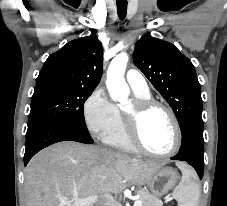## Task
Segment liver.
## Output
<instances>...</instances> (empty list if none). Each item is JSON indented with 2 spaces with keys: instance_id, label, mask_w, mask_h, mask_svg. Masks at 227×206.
I'll use <instances>...</instances> for the list:
<instances>
[{
  "instance_id": "6515ba94",
  "label": "liver",
  "mask_w": 227,
  "mask_h": 206,
  "mask_svg": "<svg viewBox=\"0 0 227 206\" xmlns=\"http://www.w3.org/2000/svg\"><path fill=\"white\" fill-rule=\"evenodd\" d=\"M93 145L63 141L37 153L25 170L26 206H67L97 195L95 206H107L106 195L129 184L144 185L164 166ZM179 167L184 166L177 163Z\"/></svg>"
}]
</instances>
